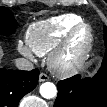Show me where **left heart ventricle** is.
<instances>
[{
  "label": "left heart ventricle",
  "instance_id": "left-heart-ventricle-1",
  "mask_svg": "<svg viewBox=\"0 0 107 107\" xmlns=\"http://www.w3.org/2000/svg\"><path fill=\"white\" fill-rule=\"evenodd\" d=\"M87 33L85 30H82L78 33V35L75 37V40L72 45V49L69 53V57H73L76 53H78L79 49L81 48L82 44L84 43L86 39Z\"/></svg>",
  "mask_w": 107,
  "mask_h": 107
}]
</instances>
